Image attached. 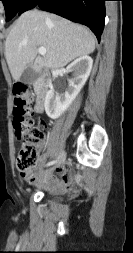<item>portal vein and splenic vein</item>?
Segmentation results:
<instances>
[{
	"label": "portal vein and splenic vein",
	"instance_id": "1",
	"mask_svg": "<svg viewBox=\"0 0 133 253\" xmlns=\"http://www.w3.org/2000/svg\"><path fill=\"white\" fill-rule=\"evenodd\" d=\"M38 52L40 55L45 56L46 55V48L45 47H39Z\"/></svg>",
	"mask_w": 133,
	"mask_h": 253
}]
</instances>
